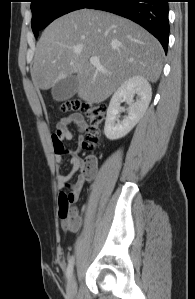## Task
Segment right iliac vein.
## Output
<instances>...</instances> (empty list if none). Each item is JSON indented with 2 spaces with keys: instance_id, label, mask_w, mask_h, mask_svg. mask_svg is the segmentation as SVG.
Returning <instances> with one entry per match:
<instances>
[{
  "instance_id": "1",
  "label": "right iliac vein",
  "mask_w": 195,
  "mask_h": 299,
  "mask_svg": "<svg viewBox=\"0 0 195 299\" xmlns=\"http://www.w3.org/2000/svg\"><path fill=\"white\" fill-rule=\"evenodd\" d=\"M67 294L70 298H73L76 294V281L74 276H72L68 282Z\"/></svg>"
}]
</instances>
